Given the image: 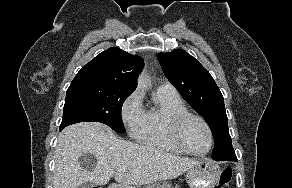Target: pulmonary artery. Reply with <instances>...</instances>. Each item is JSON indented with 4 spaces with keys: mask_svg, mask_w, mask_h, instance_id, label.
<instances>
[{
    "mask_svg": "<svg viewBox=\"0 0 292 188\" xmlns=\"http://www.w3.org/2000/svg\"><path fill=\"white\" fill-rule=\"evenodd\" d=\"M158 90H162L168 93H177L175 87L172 84L167 83V82L159 85Z\"/></svg>",
    "mask_w": 292,
    "mask_h": 188,
    "instance_id": "e3ab8cb5",
    "label": "pulmonary artery"
}]
</instances>
